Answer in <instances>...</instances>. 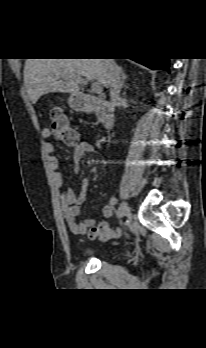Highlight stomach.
Instances as JSON below:
<instances>
[{"label":"stomach","mask_w":206,"mask_h":348,"mask_svg":"<svg viewBox=\"0 0 206 348\" xmlns=\"http://www.w3.org/2000/svg\"><path fill=\"white\" fill-rule=\"evenodd\" d=\"M69 104L72 108L76 110H81L83 108V102L80 100L77 94H72L69 97Z\"/></svg>","instance_id":"stomach-1"}]
</instances>
